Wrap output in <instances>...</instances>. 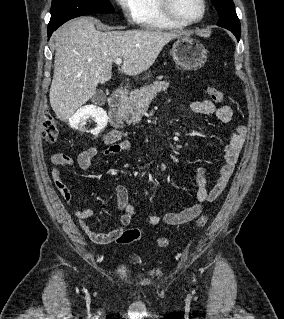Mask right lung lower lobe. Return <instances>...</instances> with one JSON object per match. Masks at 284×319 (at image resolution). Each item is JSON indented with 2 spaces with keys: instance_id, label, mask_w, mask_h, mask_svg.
<instances>
[{
  "instance_id": "1",
  "label": "right lung lower lobe",
  "mask_w": 284,
  "mask_h": 319,
  "mask_svg": "<svg viewBox=\"0 0 284 319\" xmlns=\"http://www.w3.org/2000/svg\"><path fill=\"white\" fill-rule=\"evenodd\" d=\"M57 28H52L48 30V38L52 35V33L56 30Z\"/></svg>"
}]
</instances>
